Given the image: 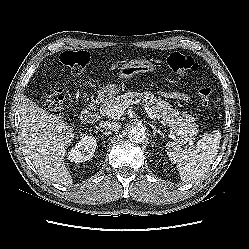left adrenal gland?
<instances>
[{"label": "left adrenal gland", "mask_w": 249, "mask_h": 249, "mask_svg": "<svg viewBox=\"0 0 249 249\" xmlns=\"http://www.w3.org/2000/svg\"><path fill=\"white\" fill-rule=\"evenodd\" d=\"M150 125V127L153 129V137H155L156 136V133L157 134H161V131L159 130V129H157L156 128V126H154L153 124H149Z\"/></svg>", "instance_id": "obj_1"}]
</instances>
